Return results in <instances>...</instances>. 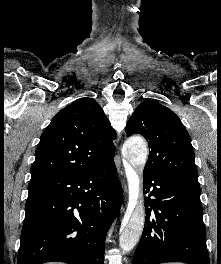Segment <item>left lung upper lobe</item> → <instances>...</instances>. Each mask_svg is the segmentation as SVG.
Here are the masks:
<instances>
[{"label":"left lung upper lobe","mask_w":221,"mask_h":264,"mask_svg":"<svg viewBox=\"0 0 221 264\" xmlns=\"http://www.w3.org/2000/svg\"><path fill=\"white\" fill-rule=\"evenodd\" d=\"M127 135L138 133L149 145L144 172L199 187L191 139L178 116L154 99L139 104L126 126Z\"/></svg>","instance_id":"1"}]
</instances>
